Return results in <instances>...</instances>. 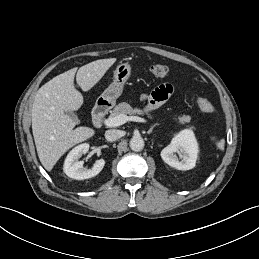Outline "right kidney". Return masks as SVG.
<instances>
[{
    "label": "right kidney",
    "mask_w": 259,
    "mask_h": 259,
    "mask_svg": "<svg viewBox=\"0 0 259 259\" xmlns=\"http://www.w3.org/2000/svg\"><path fill=\"white\" fill-rule=\"evenodd\" d=\"M88 150L89 144L83 143L69 152L63 167V170L68 177L76 180H84L96 176L103 169L105 160L102 158L97 160L91 169L83 168V161H78V159L83 154H86Z\"/></svg>",
    "instance_id": "right-kidney-1"
}]
</instances>
